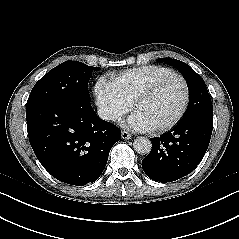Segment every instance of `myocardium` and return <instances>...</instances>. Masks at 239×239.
<instances>
[{"instance_id": "myocardium-1", "label": "myocardium", "mask_w": 239, "mask_h": 239, "mask_svg": "<svg viewBox=\"0 0 239 239\" xmlns=\"http://www.w3.org/2000/svg\"><path fill=\"white\" fill-rule=\"evenodd\" d=\"M172 77L178 78L179 80H181V82L184 86V99H183L181 109L178 112V114L170 122H168L162 126H159V127L151 128L150 131L153 133L167 132V131L171 130L172 128H174L184 118V116L188 110L189 101H190V87H189V84H188L187 80L185 79V77L183 75H181L180 73H177L174 71L163 74V75L159 76L158 78H156L155 80H153L152 82H150L144 88L139 90L135 94V96L133 97V99L131 101V110L134 111L135 107L140 102L148 99L157 90V88L159 87V85L162 82H164L168 78H172Z\"/></svg>"}]
</instances>
